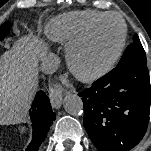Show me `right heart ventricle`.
Listing matches in <instances>:
<instances>
[{
    "mask_svg": "<svg viewBox=\"0 0 151 151\" xmlns=\"http://www.w3.org/2000/svg\"><path fill=\"white\" fill-rule=\"evenodd\" d=\"M106 12L97 10L74 11L52 19L45 27L46 36L59 43L71 44L80 38L89 26Z\"/></svg>",
    "mask_w": 151,
    "mask_h": 151,
    "instance_id": "e07e8e85",
    "label": "right heart ventricle"
}]
</instances>
